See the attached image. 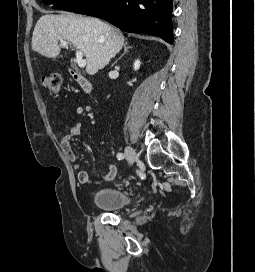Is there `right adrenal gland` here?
I'll list each match as a JSON object with an SVG mask.
<instances>
[{
  "label": "right adrenal gland",
  "mask_w": 255,
  "mask_h": 272,
  "mask_svg": "<svg viewBox=\"0 0 255 272\" xmlns=\"http://www.w3.org/2000/svg\"><path fill=\"white\" fill-rule=\"evenodd\" d=\"M131 48L127 46V42L124 44V53L121 55V57L128 51V49Z\"/></svg>",
  "instance_id": "1"
}]
</instances>
